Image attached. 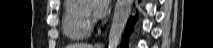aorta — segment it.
I'll return each instance as SVG.
<instances>
[{"label":"aorta","instance_id":"obj_1","mask_svg":"<svg viewBox=\"0 0 213 48\" xmlns=\"http://www.w3.org/2000/svg\"><path fill=\"white\" fill-rule=\"evenodd\" d=\"M134 0H117L109 31L108 47L117 48L127 20L132 10Z\"/></svg>","mask_w":213,"mask_h":48}]
</instances>
